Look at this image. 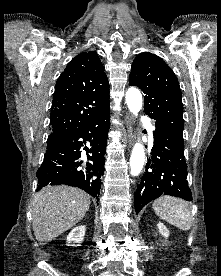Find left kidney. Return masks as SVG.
I'll return each mask as SVG.
<instances>
[{"instance_id":"left-kidney-1","label":"left kidney","mask_w":221,"mask_h":276,"mask_svg":"<svg viewBox=\"0 0 221 276\" xmlns=\"http://www.w3.org/2000/svg\"><path fill=\"white\" fill-rule=\"evenodd\" d=\"M157 228L159 230V233L165 237L168 238L169 237V231L167 229V227L163 224V223H158L157 224Z\"/></svg>"}]
</instances>
